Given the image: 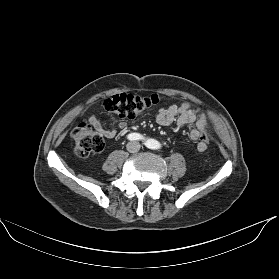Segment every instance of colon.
<instances>
[{
  "label": "colon",
  "mask_w": 279,
  "mask_h": 279,
  "mask_svg": "<svg viewBox=\"0 0 279 279\" xmlns=\"http://www.w3.org/2000/svg\"><path fill=\"white\" fill-rule=\"evenodd\" d=\"M159 101L160 97L157 94L141 96L121 93L105 99L104 107L118 117L134 118L158 104ZM71 139L74 143V153L78 158H86L93 153H98L104 147L102 135L88 122L77 124L71 131ZM202 141L209 143L208 133L203 135Z\"/></svg>",
  "instance_id": "1"
}]
</instances>
